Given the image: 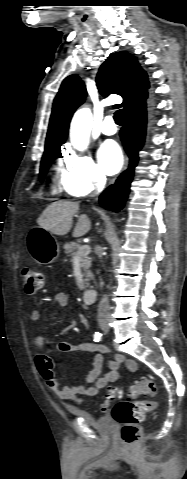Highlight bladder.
Wrapping results in <instances>:
<instances>
[{"mask_svg": "<svg viewBox=\"0 0 187 479\" xmlns=\"http://www.w3.org/2000/svg\"><path fill=\"white\" fill-rule=\"evenodd\" d=\"M72 413L84 418L103 435H110L115 430V423L110 417H94L84 410H75Z\"/></svg>", "mask_w": 187, "mask_h": 479, "instance_id": "obj_1", "label": "bladder"}]
</instances>
